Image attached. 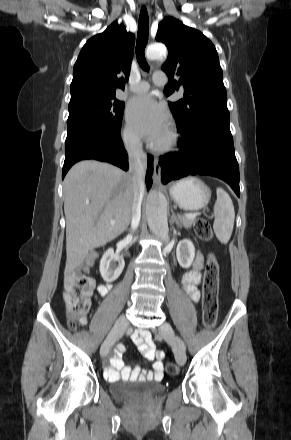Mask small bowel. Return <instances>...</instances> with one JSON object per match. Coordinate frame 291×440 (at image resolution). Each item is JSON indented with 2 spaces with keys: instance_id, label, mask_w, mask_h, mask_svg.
Segmentation results:
<instances>
[{
  "instance_id": "1",
  "label": "small bowel",
  "mask_w": 291,
  "mask_h": 440,
  "mask_svg": "<svg viewBox=\"0 0 291 440\" xmlns=\"http://www.w3.org/2000/svg\"><path fill=\"white\" fill-rule=\"evenodd\" d=\"M203 256L200 252L196 253L193 269L184 274L182 278V285L185 292L190 298L197 302L200 299V291L198 285L201 282V269L203 268ZM109 286L99 285L97 292L100 296L107 295ZM81 324H86V318L79 319ZM133 341L139 346L140 351L146 361L153 362V371H141L138 367L125 366L121 353H117L109 360L110 366L105 370L107 379L115 380L117 378L147 381L161 377L164 364L162 362L163 355L155 350V344L147 331L140 330L132 335Z\"/></svg>"
}]
</instances>
